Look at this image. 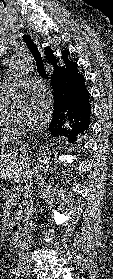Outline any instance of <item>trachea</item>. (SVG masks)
Instances as JSON below:
<instances>
[{
    "label": "trachea",
    "mask_w": 113,
    "mask_h": 279,
    "mask_svg": "<svg viewBox=\"0 0 113 279\" xmlns=\"http://www.w3.org/2000/svg\"><path fill=\"white\" fill-rule=\"evenodd\" d=\"M22 38H23L24 42L26 43L28 49L30 50L31 54L33 55L34 59H35L37 72L39 73V75L42 78L48 79V75L46 73L41 54L38 51L37 46L34 43V41L32 40L31 36H29L27 34H24L22 36Z\"/></svg>",
    "instance_id": "3493384b"
}]
</instances>
